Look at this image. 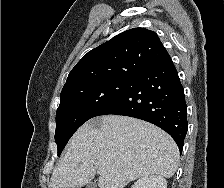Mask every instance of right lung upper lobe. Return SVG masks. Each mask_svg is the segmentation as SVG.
<instances>
[{"label":"right lung upper lobe","instance_id":"obj_1","mask_svg":"<svg viewBox=\"0 0 224 188\" xmlns=\"http://www.w3.org/2000/svg\"><path fill=\"white\" fill-rule=\"evenodd\" d=\"M169 57L154 31L132 28L89 51L69 73L63 89L107 79H133Z\"/></svg>","mask_w":224,"mask_h":188}]
</instances>
